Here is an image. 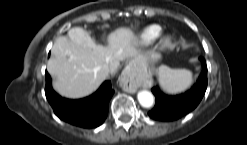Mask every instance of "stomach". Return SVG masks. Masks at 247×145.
I'll return each instance as SVG.
<instances>
[{
  "instance_id": "1",
  "label": "stomach",
  "mask_w": 247,
  "mask_h": 145,
  "mask_svg": "<svg viewBox=\"0 0 247 145\" xmlns=\"http://www.w3.org/2000/svg\"><path fill=\"white\" fill-rule=\"evenodd\" d=\"M160 58L161 55L159 53L150 51L144 55L134 57L130 61V66L139 71H146L151 66H153Z\"/></svg>"
}]
</instances>
